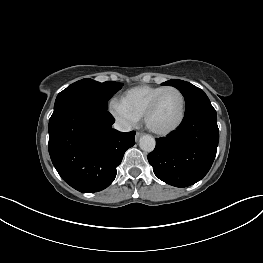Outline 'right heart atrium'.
<instances>
[{"mask_svg": "<svg viewBox=\"0 0 263 263\" xmlns=\"http://www.w3.org/2000/svg\"><path fill=\"white\" fill-rule=\"evenodd\" d=\"M109 111L123 128L129 129L139 121V118L127 110L121 101L112 100L109 104Z\"/></svg>", "mask_w": 263, "mask_h": 263, "instance_id": "obj_1", "label": "right heart atrium"}]
</instances>
